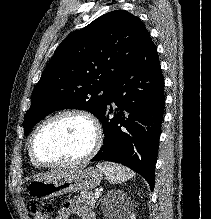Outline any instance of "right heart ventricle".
Returning a JSON list of instances; mask_svg holds the SVG:
<instances>
[{
  "instance_id": "e07e8e85",
  "label": "right heart ventricle",
  "mask_w": 211,
  "mask_h": 219,
  "mask_svg": "<svg viewBox=\"0 0 211 219\" xmlns=\"http://www.w3.org/2000/svg\"><path fill=\"white\" fill-rule=\"evenodd\" d=\"M31 162H32V161H31ZM32 164H33L35 167H38L35 163L32 162Z\"/></svg>"
}]
</instances>
